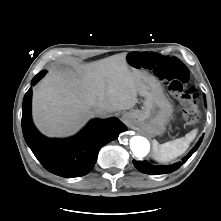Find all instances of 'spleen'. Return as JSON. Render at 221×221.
<instances>
[{
    "label": "spleen",
    "instance_id": "3e777b00",
    "mask_svg": "<svg viewBox=\"0 0 221 221\" xmlns=\"http://www.w3.org/2000/svg\"><path fill=\"white\" fill-rule=\"evenodd\" d=\"M197 129L187 133L184 137L159 144L158 141L152 142V155L159 162H169L182 155L189 147L190 143L195 139Z\"/></svg>",
    "mask_w": 221,
    "mask_h": 221
}]
</instances>
